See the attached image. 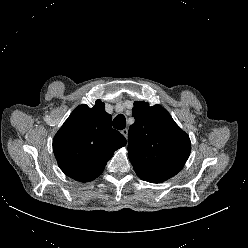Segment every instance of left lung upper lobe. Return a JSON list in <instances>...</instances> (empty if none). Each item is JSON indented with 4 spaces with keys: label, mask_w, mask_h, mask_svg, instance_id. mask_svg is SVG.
I'll list each match as a JSON object with an SVG mask.
<instances>
[{
    "label": "left lung upper lobe",
    "mask_w": 248,
    "mask_h": 248,
    "mask_svg": "<svg viewBox=\"0 0 248 248\" xmlns=\"http://www.w3.org/2000/svg\"><path fill=\"white\" fill-rule=\"evenodd\" d=\"M132 116L128 157L138 177L161 183L176 175L189 157V136L160 105L136 101Z\"/></svg>",
    "instance_id": "left-lung-upper-lobe-1"
}]
</instances>
